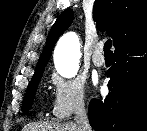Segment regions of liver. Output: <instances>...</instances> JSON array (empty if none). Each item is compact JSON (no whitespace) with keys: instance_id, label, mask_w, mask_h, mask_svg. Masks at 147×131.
<instances>
[{"instance_id":"obj_1","label":"liver","mask_w":147,"mask_h":131,"mask_svg":"<svg viewBox=\"0 0 147 131\" xmlns=\"http://www.w3.org/2000/svg\"><path fill=\"white\" fill-rule=\"evenodd\" d=\"M22 131H79L77 124H55L47 122H32L22 128Z\"/></svg>"}]
</instances>
